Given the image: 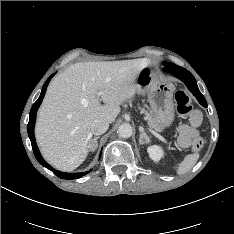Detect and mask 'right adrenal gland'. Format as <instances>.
Listing matches in <instances>:
<instances>
[{
  "instance_id": "obj_1",
  "label": "right adrenal gland",
  "mask_w": 234,
  "mask_h": 234,
  "mask_svg": "<svg viewBox=\"0 0 234 234\" xmlns=\"http://www.w3.org/2000/svg\"><path fill=\"white\" fill-rule=\"evenodd\" d=\"M100 138V136H97L95 138H93L91 141H90V149L93 151L96 147H97V140Z\"/></svg>"
}]
</instances>
